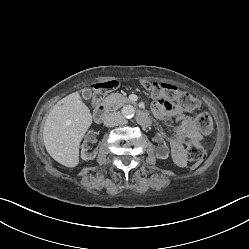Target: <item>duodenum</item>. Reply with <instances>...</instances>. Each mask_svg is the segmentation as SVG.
Instances as JSON below:
<instances>
[{"mask_svg": "<svg viewBox=\"0 0 249 249\" xmlns=\"http://www.w3.org/2000/svg\"><path fill=\"white\" fill-rule=\"evenodd\" d=\"M107 109L108 108L105 103L99 104L93 112V117L95 121L102 122L107 112ZM137 122L142 126H148L150 124V120L148 116L144 112H141V111L137 114Z\"/></svg>", "mask_w": 249, "mask_h": 249, "instance_id": "duodenum-1", "label": "duodenum"}]
</instances>
